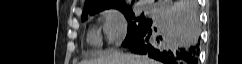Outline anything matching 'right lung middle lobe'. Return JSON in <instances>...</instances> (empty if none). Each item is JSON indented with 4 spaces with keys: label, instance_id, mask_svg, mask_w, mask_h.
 <instances>
[{
    "label": "right lung middle lobe",
    "instance_id": "obj_1",
    "mask_svg": "<svg viewBox=\"0 0 242 64\" xmlns=\"http://www.w3.org/2000/svg\"><path fill=\"white\" fill-rule=\"evenodd\" d=\"M128 20V33L127 36L122 43V46H126L129 44L137 35L142 33L145 29H147L152 24V19L146 18L143 14L139 17L135 18L134 13L128 9H121ZM95 13L84 14L82 15V22L87 20L88 15H93Z\"/></svg>",
    "mask_w": 242,
    "mask_h": 64
}]
</instances>
